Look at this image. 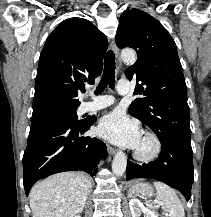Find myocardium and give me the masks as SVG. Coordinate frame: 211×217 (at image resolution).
<instances>
[{
	"mask_svg": "<svg viewBox=\"0 0 211 217\" xmlns=\"http://www.w3.org/2000/svg\"><path fill=\"white\" fill-rule=\"evenodd\" d=\"M143 138L147 139L151 143V148L146 152L136 149L134 151V157L140 162L154 161L162 151V142L159 136L151 131L145 132Z\"/></svg>",
	"mask_w": 211,
	"mask_h": 217,
	"instance_id": "f54148a6",
	"label": "myocardium"
}]
</instances>
